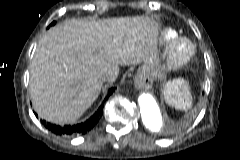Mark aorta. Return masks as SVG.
<instances>
[{
	"label": "aorta",
	"mask_w": 240,
	"mask_h": 160,
	"mask_svg": "<svg viewBox=\"0 0 240 160\" xmlns=\"http://www.w3.org/2000/svg\"><path fill=\"white\" fill-rule=\"evenodd\" d=\"M142 121L147 129L156 132L162 126V114L154 97L148 93L138 98Z\"/></svg>",
	"instance_id": "obj_1"
}]
</instances>
